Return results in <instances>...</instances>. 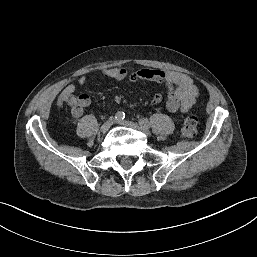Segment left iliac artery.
<instances>
[{
  "mask_svg": "<svg viewBox=\"0 0 257 257\" xmlns=\"http://www.w3.org/2000/svg\"><path fill=\"white\" fill-rule=\"evenodd\" d=\"M139 124L142 128H150V123L147 119H140Z\"/></svg>",
  "mask_w": 257,
  "mask_h": 257,
  "instance_id": "1",
  "label": "left iliac artery"
}]
</instances>
